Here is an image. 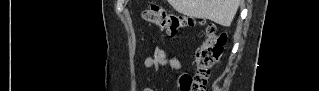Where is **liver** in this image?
<instances>
[{"instance_id":"6515ba94","label":"liver","mask_w":319,"mask_h":91,"mask_svg":"<svg viewBox=\"0 0 319 91\" xmlns=\"http://www.w3.org/2000/svg\"><path fill=\"white\" fill-rule=\"evenodd\" d=\"M179 13L230 26L241 0H168Z\"/></svg>"}]
</instances>
